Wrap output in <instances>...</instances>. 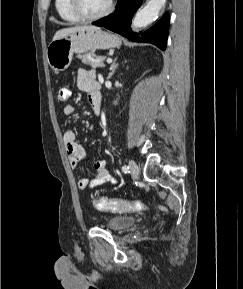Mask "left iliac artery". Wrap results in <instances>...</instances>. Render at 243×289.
<instances>
[{
	"mask_svg": "<svg viewBox=\"0 0 243 289\" xmlns=\"http://www.w3.org/2000/svg\"><path fill=\"white\" fill-rule=\"evenodd\" d=\"M122 171H123L124 173L128 172V171H129V167L126 166V165H124V166L122 167Z\"/></svg>",
	"mask_w": 243,
	"mask_h": 289,
	"instance_id": "1",
	"label": "left iliac artery"
}]
</instances>
